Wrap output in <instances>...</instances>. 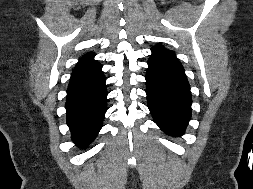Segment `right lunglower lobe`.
<instances>
[{
    "label": "right lung lower lobe",
    "mask_w": 253,
    "mask_h": 189,
    "mask_svg": "<svg viewBox=\"0 0 253 189\" xmlns=\"http://www.w3.org/2000/svg\"><path fill=\"white\" fill-rule=\"evenodd\" d=\"M103 74L85 80L71 79L67 89V125L72 132V140L79 147L91 143L102 127L107 110Z\"/></svg>",
    "instance_id": "98d812e1"
}]
</instances>
